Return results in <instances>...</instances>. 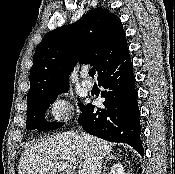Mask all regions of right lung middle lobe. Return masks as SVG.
Segmentation results:
<instances>
[{
    "mask_svg": "<svg viewBox=\"0 0 175 174\" xmlns=\"http://www.w3.org/2000/svg\"><path fill=\"white\" fill-rule=\"evenodd\" d=\"M67 91L68 89L63 91H58V92L40 97L31 102H28L27 103V121H26L27 130L37 129L40 131H45V130H55L61 127L63 123L46 122L44 116H45V112L47 111V107L55 100L57 95ZM79 105H80V110L82 111L84 108V105L82 103H80Z\"/></svg>",
    "mask_w": 175,
    "mask_h": 174,
    "instance_id": "obj_1",
    "label": "right lung middle lobe"
}]
</instances>
